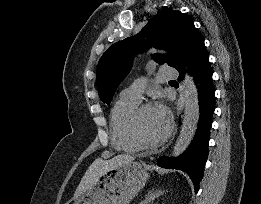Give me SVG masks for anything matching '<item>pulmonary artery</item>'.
Instances as JSON below:
<instances>
[{
    "instance_id": "obj_1",
    "label": "pulmonary artery",
    "mask_w": 261,
    "mask_h": 204,
    "mask_svg": "<svg viewBox=\"0 0 261 204\" xmlns=\"http://www.w3.org/2000/svg\"><path fill=\"white\" fill-rule=\"evenodd\" d=\"M178 76V72L175 68L165 66L159 69L156 80L157 82H165L172 80ZM145 84L143 81H136L128 88L121 92V97L124 99L139 102L144 90Z\"/></svg>"
}]
</instances>
